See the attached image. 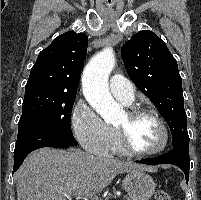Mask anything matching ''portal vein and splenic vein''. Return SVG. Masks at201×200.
I'll use <instances>...</instances> for the list:
<instances>
[{
	"mask_svg": "<svg viewBox=\"0 0 201 200\" xmlns=\"http://www.w3.org/2000/svg\"><path fill=\"white\" fill-rule=\"evenodd\" d=\"M77 196L78 197L84 196L85 200H88V198L91 200H99V198L97 196L93 195L88 190L84 191L83 193H79ZM68 199L71 200V196H68Z\"/></svg>",
	"mask_w": 201,
	"mask_h": 200,
	"instance_id": "1",
	"label": "portal vein and splenic vein"
}]
</instances>
